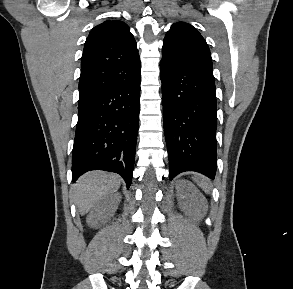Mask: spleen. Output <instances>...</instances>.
Here are the masks:
<instances>
[{
    "instance_id": "spleen-1",
    "label": "spleen",
    "mask_w": 293,
    "mask_h": 289,
    "mask_svg": "<svg viewBox=\"0 0 293 289\" xmlns=\"http://www.w3.org/2000/svg\"><path fill=\"white\" fill-rule=\"evenodd\" d=\"M193 180L197 183L199 187H201L206 193L211 191V184L210 182L201 175H195Z\"/></svg>"
}]
</instances>
